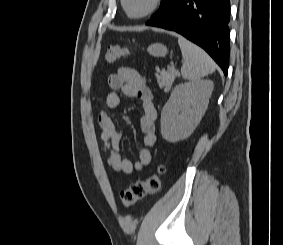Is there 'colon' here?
I'll return each mask as SVG.
<instances>
[{"instance_id":"5ec220e1","label":"colon","mask_w":283,"mask_h":245,"mask_svg":"<svg viewBox=\"0 0 283 245\" xmlns=\"http://www.w3.org/2000/svg\"><path fill=\"white\" fill-rule=\"evenodd\" d=\"M128 52L119 46H110L107 48L104 61L105 63H112L115 60L126 57ZM165 167L159 164L155 172L144 181H137L129 188L121 192V201L125 209L131 208L139 200L144 197L155 194L161 189V175L164 173Z\"/></svg>"}]
</instances>
